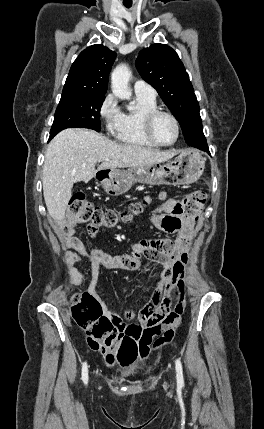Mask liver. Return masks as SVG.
I'll use <instances>...</instances> for the list:
<instances>
[{"instance_id": "1", "label": "liver", "mask_w": 264, "mask_h": 429, "mask_svg": "<svg viewBox=\"0 0 264 429\" xmlns=\"http://www.w3.org/2000/svg\"><path fill=\"white\" fill-rule=\"evenodd\" d=\"M177 150L158 151L118 144L89 129L69 128L58 133L47 147L43 165V195L49 215L62 222L76 182H89L98 170L165 162ZM101 162L98 169L95 165Z\"/></svg>"}]
</instances>
